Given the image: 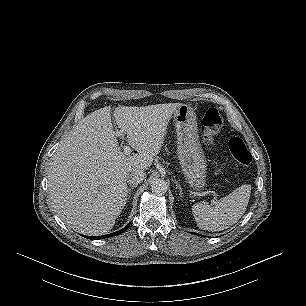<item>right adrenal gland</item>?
<instances>
[{"instance_id":"2a0ac1e0","label":"right adrenal gland","mask_w":306,"mask_h":306,"mask_svg":"<svg viewBox=\"0 0 306 306\" xmlns=\"http://www.w3.org/2000/svg\"><path fill=\"white\" fill-rule=\"evenodd\" d=\"M136 186H130L129 188H128V197H127V200H129L130 199V197H131V193H132V189H134Z\"/></svg>"}]
</instances>
